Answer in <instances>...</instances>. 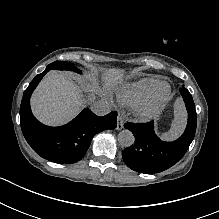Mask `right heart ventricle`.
I'll return each instance as SVG.
<instances>
[{"instance_id": "right-heart-ventricle-1", "label": "right heart ventricle", "mask_w": 219, "mask_h": 219, "mask_svg": "<svg viewBox=\"0 0 219 219\" xmlns=\"http://www.w3.org/2000/svg\"><path fill=\"white\" fill-rule=\"evenodd\" d=\"M159 85L160 82L157 79L145 78L139 82L127 85L120 97L124 103L135 105L149 97Z\"/></svg>"}]
</instances>
